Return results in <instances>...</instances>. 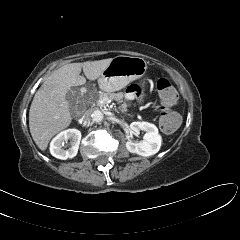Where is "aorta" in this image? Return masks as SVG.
Here are the masks:
<instances>
[{
    "label": "aorta",
    "mask_w": 240,
    "mask_h": 240,
    "mask_svg": "<svg viewBox=\"0 0 240 240\" xmlns=\"http://www.w3.org/2000/svg\"><path fill=\"white\" fill-rule=\"evenodd\" d=\"M92 120L96 123H99L103 120V113L100 110H95L92 113Z\"/></svg>",
    "instance_id": "obj_1"
}]
</instances>
